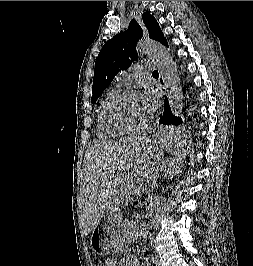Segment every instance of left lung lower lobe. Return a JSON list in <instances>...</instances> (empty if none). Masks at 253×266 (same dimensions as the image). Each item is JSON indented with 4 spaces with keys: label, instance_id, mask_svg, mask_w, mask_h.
I'll list each match as a JSON object with an SVG mask.
<instances>
[{
    "label": "left lung lower lobe",
    "instance_id": "0a47b994",
    "mask_svg": "<svg viewBox=\"0 0 253 266\" xmlns=\"http://www.w3.org/2000/svg\"><path fill=\"white\" fill-rule=\"evenodd\" d=\"M164 45L168 47L167 41L164 42ZM164 113L159 120V123L165 126H178L182 123V119L180 117H176L169 108L168 100L165 98L164 104ZM173 129L172 127H170Z\"/></svg>",
    "mask_w": 253,
    "mask_h": 266
}]
</instances>
